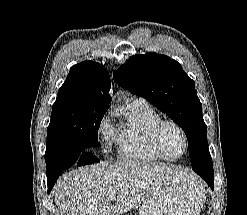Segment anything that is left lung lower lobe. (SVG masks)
Here are the masks:
<instances>
[{
	"label": "left lung lower lobe",
	"mask_w": 247,
	"mask_h": 215,
	"mask_svg": "<svg viewBox=\"0 0 247 215\" xmlns=\"http://www.w3.org/2000/svg\"><path fill=\"white\" fill-rule=\"evenodd\" d=\"M192 169L207 182L212 190L214 189V170L210 155L204 156L200 163L192 166Z\"/></svg>",
	"instance_id": "obj_1"
}]
</instances>
